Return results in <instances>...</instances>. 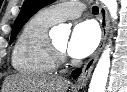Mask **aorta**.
I'll list each match as a JSON object with an SVG mask.
<instances>
[{
    "label": "aorta",
    "instance_id": "aorta-1",
    "mask_svg": "<svg viewBox=\"0 0 127 92\" xmlns=\"http://www.w3.org/2000/svg\"><path fill=\"white\" fill-rule=\"evenodd\" d=\"M102 2L108 8L111 17L116 19L118 10L117 0H102ZM53 30L57 33H69L70 27L65 24H61L54 27ZM110 51L111 49L107 46L102 53L94 70L88 92H105L110 68Z\"/></svg>",
    "mask_w": 127,
    "mask_h": 92
}]
</instances>
